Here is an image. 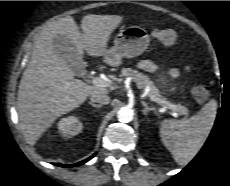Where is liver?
I'll list each match as a JSON object with an SVG mask.
<instances>
[{"instance_id": "obj_1", "label": "liver", "mask_w": 230, "mask_h": 186, "mask_svg": "<svg viewBox=\"0 0 230 186\" xmlns=\"http://www.w3.org/2000/svg\"><path fill=\"white\" fill-rule=\"evenodd\" d=\"M122 20L119 15L88 14L81 21L80 33L74 18L67 16L41 33L18 89L17 113L26 143L35 145L57 118L79 107L91 94L109 92L75 79L68 61L56 52L54 40L66 37L80 58L84 51L104 56L110 35Z\"/></svg>"}]
</instances>
